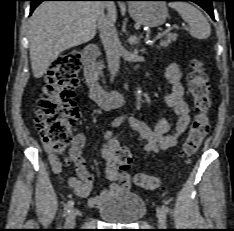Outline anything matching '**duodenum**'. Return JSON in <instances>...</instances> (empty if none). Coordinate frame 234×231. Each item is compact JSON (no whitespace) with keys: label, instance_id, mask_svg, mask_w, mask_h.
<instances>
[{"label":"duodenum","instance_id":"410a0bca","mask_svg":"<svg viewBox=\"0 0 234 231\" xmlns=\"http://www.w3.org/2000/svg\"><path fill=\"white\" fill-rule=\"evenodd\" d=\"M99 54V48L95 44L88 45L82 52L84 77L90 89L91 99L103 110H110L122 106L128 95L122 91H105L98 83L94 64Z\"/></svg>","mask_w":234,"mask_h":231}]
</instances>
